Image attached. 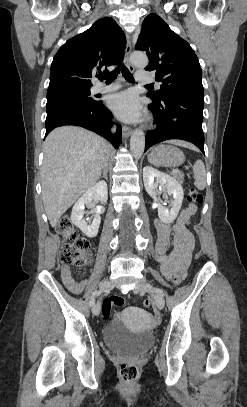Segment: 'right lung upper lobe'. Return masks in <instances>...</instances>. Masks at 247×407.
Here are the masks:
<instances>
[{
  "label": "right lung upper lobe",
  "mask_w": 247,
  "mask_h": 407,
  "mask_svg": "<svg viewBox=\"0 0 247 407\" xmlns=\"http://www.w3.org/2000/svg\"><path fill=\"white\" fill-rule=\"evenodd\" d=\"M125 46L124 32L111 17L97 20L58 50L51 64L48 90L65 86L91 87V78L97 70L123 59ZM105 71L108 70L105 68Z\"/></svg>",
  "instance_id": "obj_1"
}]
</instances>
